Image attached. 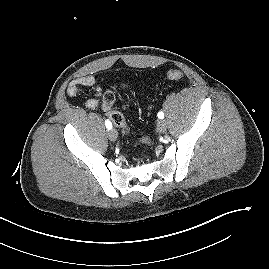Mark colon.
<instances>
[{
    "label": "colon",
    "instance_id": "1",
    "mask_svg": "<svg viewBox=\"0 0 269 269\" xmlns=\"http://www.w3.org/2000/svg\"><path fill=\"white\" fill-rule=\"evenodd\" d=\"M167 77L173 81H179L183 78V74L179 70H170L167 73ZM115 88H112L105 92L102 98L103 108L107 111V116L113 122V124L119 127L124 135L129 133V126L126 122L125 117L122 113L113 110V105L115 103Z\"/></svg>",
    "mask_w": 269,
    "mask_h": 269
}]
</instances>
